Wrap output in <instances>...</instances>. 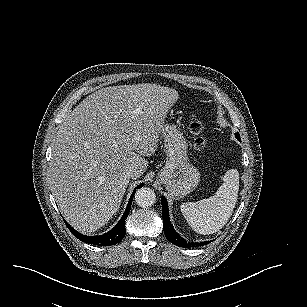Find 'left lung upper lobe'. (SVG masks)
Returning a JSON list of instances; mask_svg holds the SVG:
<instances>
[{
	"mask_svg": "<svg viewBox=\"0 0 307 307\" xmlns=\"http://www.w3.org/2000/svg\"><path fill=\"white\" fill-rule=\"evenodd\" d=\"M235 137H236L239 141H241L239 133H236V134H235Z\"/></svg>",
	"mask_w": 307,
	"mask_h": 307,
	"instance_id": "1",
	"label": "left lung upper lobe"
}]
</instances>
